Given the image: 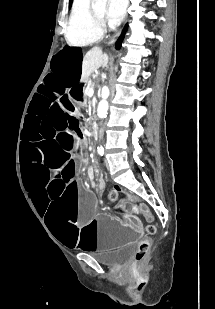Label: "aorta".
Listing matches in <instances>:
<instances>
[{"label":"aorta","mask_w":215,"mask_h":309,"mask_svg":"<svg viewBox=\"0 0 215 309\" xmlns=\"http://www.w3.org/2000/svg\"><path fill=\"white\" fill-rule=\"evenodd\" d=\"M106 4L107 0H93V6H95V8H105ZM108 96H109V88L105 86V90H102V98L97 108V114L99 118H105V116H107L108 114V108H109L107 100Z\"/></svg>","instance_id":"aorta-1"}]
</instances>
